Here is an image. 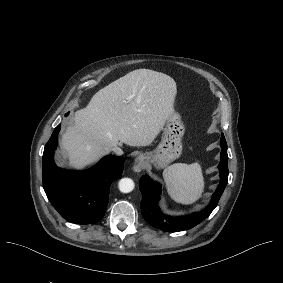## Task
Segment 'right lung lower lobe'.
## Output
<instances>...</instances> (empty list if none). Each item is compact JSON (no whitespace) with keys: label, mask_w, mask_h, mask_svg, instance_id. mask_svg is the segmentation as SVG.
Instances as JSON below:
<instances>
[{"label":"right lung lower lobe","mask_w":283,"mask_h":283,"mask_svg":"<svg viewBox=\"0 0 283 283\" xmlns=\"http://www.w3.org/2000/svg\"><path fill=\"white\" fill-rule=\"evenodd\" d=\"M60 127L54 129L44 149L43 188L66 220L77 224L96 223L105 214L110 185L122 174L125 159L108 155L85 171L62 170L53 160Z\"/></svg>","instance_id":"obj_1"}]
</instances>
